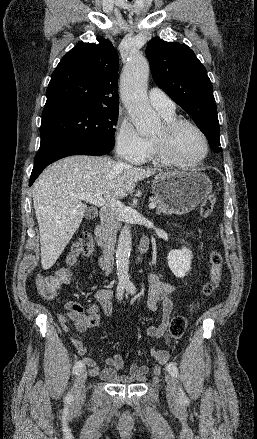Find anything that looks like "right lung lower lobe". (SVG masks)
<instances>
[{
	"label": "right lung lower lobe",
	"mask_w": 257,
	"mask_h": 439,
	"mask_svg": "<svg viewBox=\"0 0 257 439\" xmlns=\"http://www.w3.org/2000/svg\"><path fill=\"white\" fill-rule=\"evenodd\" d=\"M114 146L101 142L79 139L59 140L40 146L34 159V168L30 177L31 186L43 169L54 161L70 155H105Z\"/></svg>",
	"instance_id": "obj_1"
}]
</instances>
